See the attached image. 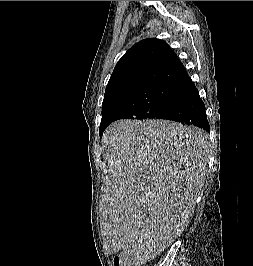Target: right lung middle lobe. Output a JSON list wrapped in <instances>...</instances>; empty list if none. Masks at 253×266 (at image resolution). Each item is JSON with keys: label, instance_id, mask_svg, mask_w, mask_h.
<instances>
[{"label": "right lung middle lobe", "instance_id": "right-lung-middle-lobe-1", "mask_svg": "<svg viewBox=\"0 0 253 266\" xmlns=\"http://www.w3.org/2000/svg\"><path fill=\"white\" fill-rule=\"evenodd\" d=\"M174 84H155L124 93L102 104L99 133L111 122L128 119L157 118L168 106Z\"/></svg>", "mask_w": 253, "mask_h": 266}]
</instances>
